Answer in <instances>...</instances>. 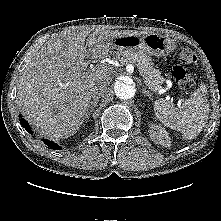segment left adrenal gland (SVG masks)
I'll list each match as a JSON object with an SVG mask.
<instances>
[{"label":"left adrenal gland","mask_w":221,"mask_h":221,"mask_svg":"<svg viewBox=\"0 0 221 221\" xmlns=\"http://www.w3.org/2000/svg\"><path fill=\"white\" fill-rule=\"evenodd\" d=\"M142 93L144 94V96H147L149 97V99L153 100L151 92L147 90L146 88L142 89Z\"/></svg>","instance_id":"obj_1"}]
</instances>
